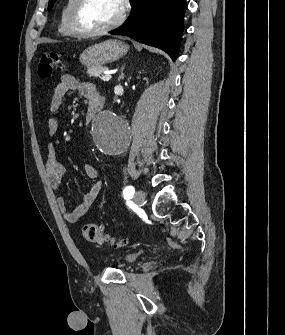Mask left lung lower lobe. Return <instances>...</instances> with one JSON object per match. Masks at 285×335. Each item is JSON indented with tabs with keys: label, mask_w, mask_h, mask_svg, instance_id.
<instances>
[{
	"label": "left lung lower lobe",
	"mask_w": 285,
	"mask_h": 335,
	"mask_svg": "<svg viewBox=\"0 0 285 335\" xmlns=\"http://www.w3.org/2000/svg\"><path fill=\"white\" fill-rule=\"evenodd\" d=\"M132 11L112 35H125L164 50L173 61L178 56L186 0H130Z\"/></svg>",
	"instance_id": "left-lung-lower-lobe-1"
}]
</instances>
